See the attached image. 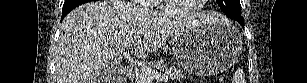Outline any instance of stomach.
I'll return each mask as SVG.
<instances>
[{"mask_svg":"<svg viewBox=\"0 0 307 83\" xmlns=\"http://www.w3.org/2000/svg\"><path fill=\"white\" fill-rule=\"evenodd\" d=\"M242 38L228 23L211 22L185 28L173 38V54L185 70L213 76L229 69L242 52Z\"/></svg>","mask_w":307,"mask_h":83,"instance_id":"stomach-1","label":"stomach"}]
</instances>
